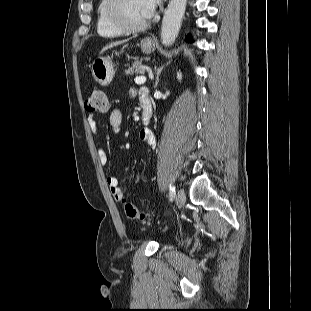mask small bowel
Wrapping results in <instances>:
<instances>
[{"label":"small bowel","instance_id":"1","mask_svg":"<svg viewBox=\"0 0 311 311\" xmlns=\"http://www.w3.org/2000/svg\"><path fill=\"white\" fill-rule=\"evenodd\" d=\"M138 94H139V100H140L141 106H142V100L150 99L149 91L146 88H141ZM122 120H123V115L119 109H114L111 111L110 116H109V122L114 132L116 133L119 132L121 125H122ZM87 124L90 128L91 133L94 136H98L99 131H98V127H97L94 115L90 114L87 116ZM139 139L143 143L151 147H156L157 142H156L155 135L153 131L149 128H143L140 130ZM98 159H99L100 164L103 166L108 163V156L103 149L98 150ZM140 180H141V176L138 175L135 178V182H139ZM106 183L111 192L112 197L118 202L123 201L124 194L121 188L119 187L118 179L114 176H109L106 179Z\"/></svg>","mask_w":311,"mask_h":311}]
</instances>
